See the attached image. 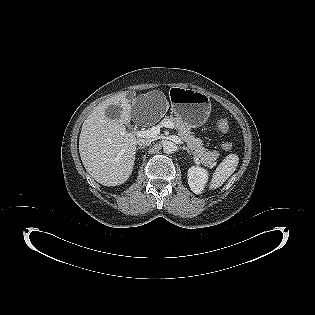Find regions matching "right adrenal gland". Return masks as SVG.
I'll use <instances>...</instances> for the list:
<instances>
[{
	"label": "right adrenal gland",
	"instance_id": "right-adrenal-gland-1",
	"mask_svg": "<svg viewBox=\"0 0 315 315\" xmlns=\"http://www.w3.org/2000/svg\"><path fill=\"white\" fill-rule=\"evenodd\" d=\"M144 148H145L144 146H140V147H138L136 150L144 149Z\"/></svg>",
	"mask_w": 315,
	"mask_h": 315
}]
</instances>
